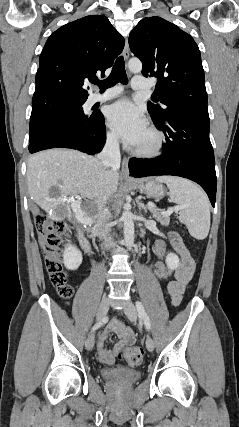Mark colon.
I'll list each match as a JSON object with an SVG mask.
<instances>
[{"label": "colon", "instance_id": "colon-1", "mask_svg": "<svg viewBox=\"0 0 239 427\" xmlns=\"http://www.w3.org/2000/svg\"><path fill=\"white\" fill-rule=\"evenodd\" d=\"M35 225L40 237L42 251L46 259V267L52 284L57 289L59 296L69 299L73 294V288L67 282L60 260V243L63 236L69 232V225L65 222L53 221L44 214L35 217ZM163 231V230H162ZM166 239H157L153 242L152 249L157 256L154 263L153 275L156 281L164 285L170 273L168 266L169 253ZM120 359L130 366H137L143 358V349L140 346L121 350Z\"/></svg>", "mask_w": 239, "mask_h": 427}]
</instances>
